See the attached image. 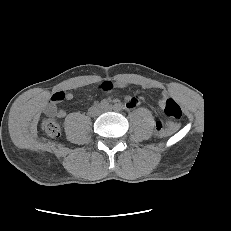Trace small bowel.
Listing matches in <instances>:
<instances>
[{"mask_svg": "<svg viewBox=\"0 0 231 231\" xmlns=\"http://www.w3.org/2000/svg\"><path fill=\"white\" fill-rule=\"evenodd\" d=\"M112 83V82H111ZM113 84V88L114 87H123L125 86L127 83L125 81H117L115 83H112ZM110 91V90H108ZM108 91H105V92H108ZM54 95H59L60 99L56 100V101H51V104L49 106V109L50 110H55V113L58 117H65L66 115V111L62 108H58V109H55V104L60 102V101H63V100H72L73 99V94L70 93V92H57L55 93ZM137 98L136 97H129L127 100H126V107L127 108H133L136 104H137Z\"/></svg>", "mask_w": 231, "mask_h": 231, "instance_id": "small-bowel-1", "label": "small bowel"}]
</instances>
